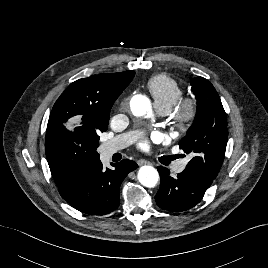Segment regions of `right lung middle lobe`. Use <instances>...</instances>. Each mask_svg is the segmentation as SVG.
<instances>
[{
  "label": "right lung middle lobe",
  "mask_w": 268,
  "mask_h": 268,
  "mask_svg": "<svg viewBox=\"0 0 268 268\" xmlns=\"http://www.w3.org/2000/svg\"><path fill=\"white\" fill-rule=\"evenodd\" d=\"M63 108L53 107L50 119L53 128L46 132L45 151L53 177L73 181L82 176L91 164L99 160L96 149L100 132L108 128V123L91 124L83 131L54 129L63 122Z\"/></svg>",
  "instance_id": "obj_1"
}]
</instances>
